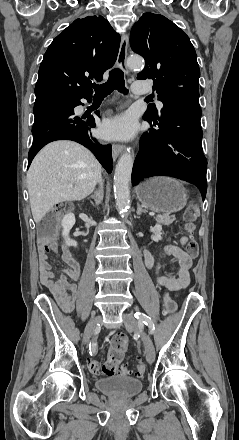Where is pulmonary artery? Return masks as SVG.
Segmentation results:
<instances>
[{
  "instance_id": "obj_1",
  "label": "pulmonary artery",
  "mask_w": 239,
  "mask_h": 440,
  "mask_svg": "<svg viewBox=\"0 0 239 440\" xmlns=\"http://www.w3.org/2000/svg\"><path fill=\"white\" fill-rule=\"evenodd\" d=\"M131 90L135 94H143V93H146L149 89L142 87L141 82H136V83L132 84ZM158 106H159V109H161L162 108V103L159 102Z\"/></svg>"
}]
</instances>
